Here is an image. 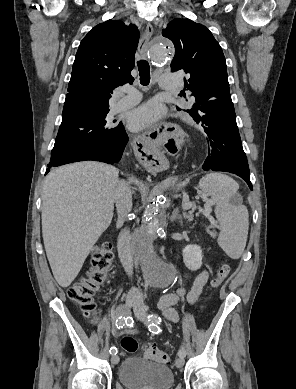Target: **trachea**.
<instances>
[{
  "instance_id": "1",
  "label": "trachea",
  "mask_w": 296,
  "mask_h": 389,
  "mask_svg": "<svg viewBox=\"0 0 296 389\" xmlns=\"http://www.w3.org/2000/svg\"><path fill=\"white\" fill-rule=\"evenodd\" d=\"M139 76H140V83L143 86H146L150 82V66L149 63L146 60H139L137 62Z\"/></svg>"
}]
</instances>
